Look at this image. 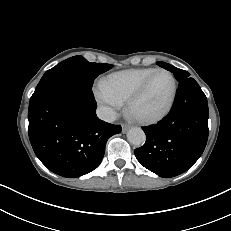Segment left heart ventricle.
Here are the masks:
<instances>
[{
	"mask_svg": "<svg viewBox=\"0 0 231 231\" xmlns=\"http://www.w3.org/2000/svg\"><path fill=\"white\" fill-rule=\"evenodd\" d=\"M172 81L167 74H157L145 95L136 103L134 112L140 116H150L161 111L171 96Z\"/></svg>",
	"mask_w": 231,
	"mask_h": 231,
	"instance_id": "left-heart-ventricle-1",
	"label": "left heart ventricle"
}]
</instances>
